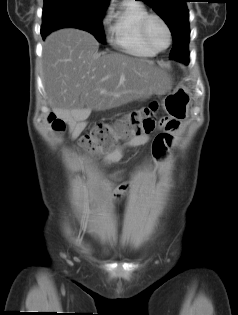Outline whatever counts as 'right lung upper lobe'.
I'll use <instances>...</instances> for the list:
<instances>
[{
	"instance_id": "cb5924a9",
	"label": "right lung upper lobe",
	"mask_w": 238,
	"mask_h": 315,
	"mask_svg": "<svg viewBox=\"0 0 238 315\" xmlns=\"http://www.w3.org/2000/svg\"><path fill=\"white\" fill-rule=\"evenodd\" d=\"M108 5L109 0H94Z\"/></svg>"
}]
</instances>
